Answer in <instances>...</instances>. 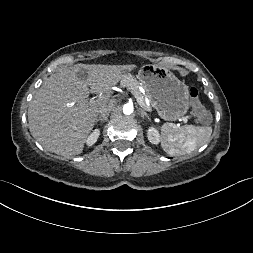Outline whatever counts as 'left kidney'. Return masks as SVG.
Wrapping results in <instances>:
<instances>
[{"label":"left kidney","instance_id":"5707ae66","mask_svg":"<svg viewBox=\"0 0 253 253\" xmlns=\"http://www.w3.org/2000/svg\"><path fill=\"white\" fill-rule=\"evenodd\" d=\"M147 137L148 140L152 143V144H158L160 142V134L158 132V130L154 127H150L147 131Z\"/></svg>","mask_w":253,"mask_h":253}]
</instances>
